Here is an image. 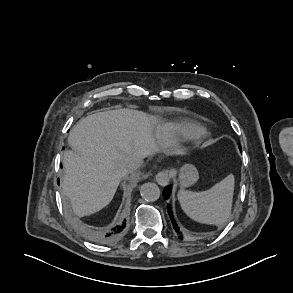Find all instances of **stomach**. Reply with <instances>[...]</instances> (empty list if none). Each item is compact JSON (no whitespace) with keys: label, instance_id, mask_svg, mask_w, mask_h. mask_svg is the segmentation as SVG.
Returning <instances> with one entry per match:
<instances>
[{"label":"stomach","instance_id":"0dacf381","mask_svg":"<svg viewBox=\"0 0 293 293\" xmlns=\"http://www.w3.org/2000/svg\"><path fill=\"white\" fill-rule=\"evenodd\" d=\"M179 183L182 188L195 184L199 179V172L192 164H185L179 170Z\"/></svg>","mask_w":293,"mask_h":293}]
</instances>
